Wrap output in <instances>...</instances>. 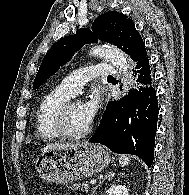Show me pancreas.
<instances>
[{
	"mask_svg": "<svg viewBox=\"0 0 189 195\" xmlns=\"http://www.w3.org/2000/svg\"><path fill=\"white\" fill-rule=\"evenodd\" d=\"M68 188H71L73 190H78V189H81V188L88 189L89 188V184L88 183H74V184H72Z\"/></svg>",
	"mask_w": 189,
	"mask_h": 195,
	"instance_id": "cf45deb5",
	"label": "pancreas"
}]
</instances>
